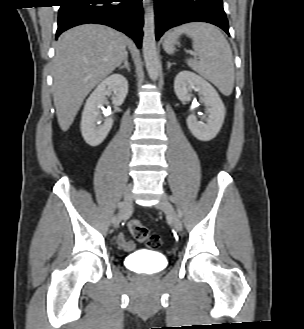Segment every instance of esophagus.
<instances>
[{
	"mask_svg": "<svg viewBox=\"0 0 304 329\" xmlns=\"http://www.w3.org/2000/svg\"><path fill=\"white\" fill-rule=\"evenodd\" d=\"M149 0H143V5L146 6L148 4Z\"/></svg>",
	"mask_w": 304,
	"mask_h": 329,
	"instance_id": "34e87169",
	"label": "esophagus"
}]
</instances>
